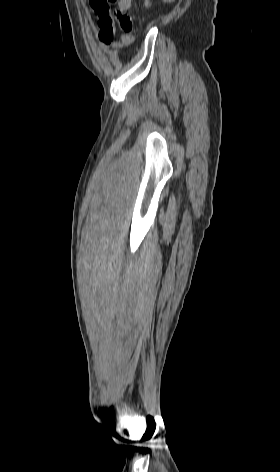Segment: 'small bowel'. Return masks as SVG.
<instances>
[{
  "label": "small bowel",
  "mask_w": 280,
  "mask_h": 472,
  "mask_svg": "<svg viewBox=\"0 0 280 472\" xmlns=\"http://www.w3.org/2000/svg\"><path fill=\"white\" fill-rule=\"evenodd\" d=\"M132 4V0H119L118 8L121 12L126 13ZM98 37L100 42L106 47H112L115 49L121 48L124 44H129L132 38L129 35H122L121 42H116L114 40L115 37V27L113 22L109 23L108 25H100L99 24V33Z\"/></svg>",
  "instance_id": "small-bowel-1"
}]
</instances>
